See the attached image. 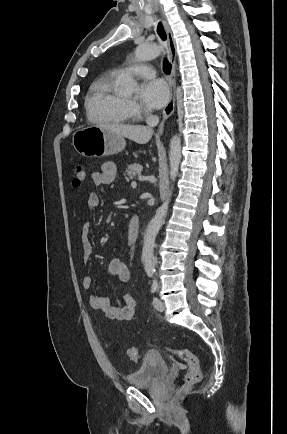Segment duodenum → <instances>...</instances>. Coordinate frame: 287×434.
I'll return each mask as SVG.
<instances>
[{
	"mask_svg": "<svg viewBox=\"0 0 287 434\" xmlns=\"http://www.w3.org/2000/svg\"><path fill=\"white\" fill-rule=\"evenodd\" d=\"M140 232V222L139 218L136 215H132L127 228V236L128 240L131 243H135L139 237Z\"/></svg>",
	"mask_w": 287,
	"mask_h": 434,
	"instance_id": "410a0bca",
	"label": "duodenum"
}]
</instances>
